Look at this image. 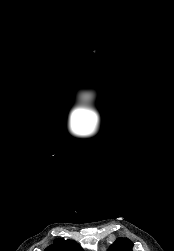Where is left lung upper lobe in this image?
<instances>
[{
	"mask_svg": "<svg viewBox=\"0 0 174 251\" xmlns=\"http://www.w3.org/2000/svg\"><path fill=\"white\" fill-rule=\"evenodd\" d=\"M133 243L127 238H118L108 251H132Z\"/></svg>",
	"mask_w": 174,
	"mask_h": 251,
	"instance_id": "1",
	"label": "left lung upper lobe"
}]
</instances>
